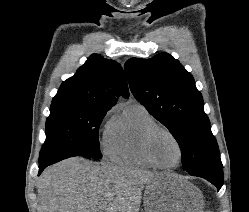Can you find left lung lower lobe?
Instances as JSON below:
<instances>
[{"instance_id": "left-lung-lower-lobe-1", "label": "left lung lower lobe", "mask_w": 249, "mask_h": 212, "mask_svg": "<svg viewBox=\"0 0 249 212\" xmlns=\"http://www.w3.org/2000/svg\"><path fill=\"white\" fill-rule=\"evenodd\" d=\"M190 175L208 180L210 183L214 184L218 190L222 187L224 181L222 167H209Z\"/></svg>"}]
</instances>
